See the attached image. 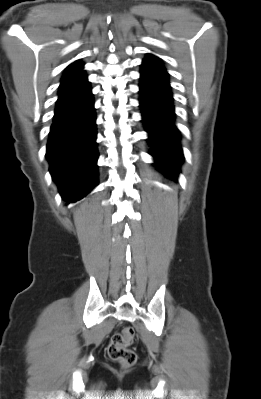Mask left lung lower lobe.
<instances>
[{
    "label": "left lung lower lobe",
    "instance_id": "0a47b994",
    "mask_svg": "<svg viewBox=\"0 0 261 399\" xmlns=\"http://www.w3.org/2000/svg\"><path fill=\"white\" fill-rule=\"evenodd\" d=\"M139 100L143 122L149 133L150 154L156 160L155 166L167 177L176 179L184 157L180 135L174 125L168 73L162 64L143 61Z\"/></svg>",
    "mask_w": 261,
    "mask_h": 399
}]
</instances>
